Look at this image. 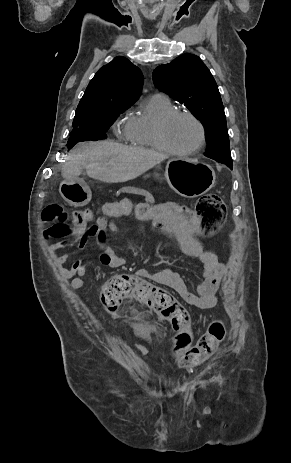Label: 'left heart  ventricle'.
<instances>
[{"instance_id":"b2bd125f","label":"left heart ventricle","mask_w":291,"mask_h":463,"mask_svg":"<svg viewBox=\"0 0 291 463\" xmlns=\"http://www.w3.org/2000/svg\"><path fill=\"white\" fill-rule=\"evenodd\" d=\"M166 137L174 148L187 150L198 143L200 131L193 120L186 116H179L169 123Z\"/></svg>"}]
</instances>
